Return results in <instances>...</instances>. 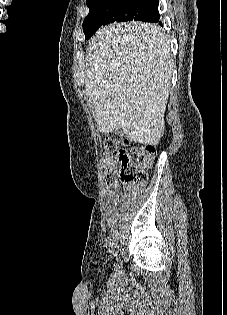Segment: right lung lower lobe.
Instances as JSON below:
<instances>
[{"instance_id":"1","label":"right lung lower lobe","mask_w":227,"mask_h":315,"mask_svg":"<svg viewBox=\"0 0 227 315\" xmlns=\"http://www.w3.org/2000/svg\"><path fill=\"white\" fill-rule=\"evenodd\" d=\"M159 18H160V15H159V12H158V10H157V12H156V22H158L159 21ZM160 24H161V22H159Z\"/></svg>"}]
</instances>
